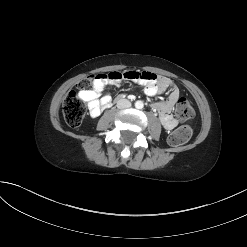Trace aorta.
Wrapping results in <instances>:
<instances>
[{
    "instance_id": "1",
    "label": "aorta",
    "mask_w": 247,
    "mask_h": 247,
    "mask_svg": "<svg viewBox=\"0 0 247 247\" xmlns=\"http://www.w3.org/2000/svg\"><path fill=\"white\" fill-rule=\"evenodd\" d=\"M135 107L137 109H142L144 107L143 101H141V100L136 101L135 102Z\"/></svg>"
}]
</instances>
